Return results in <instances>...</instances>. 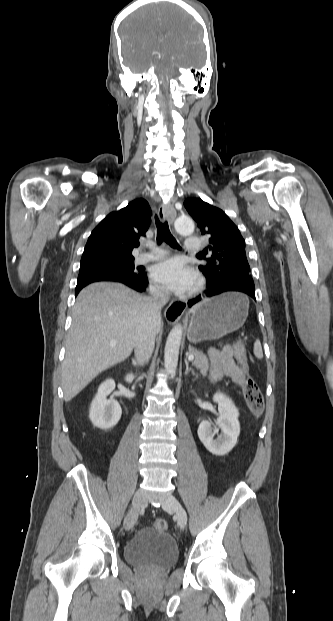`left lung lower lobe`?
I'll return each instance as SVG.
<instances>
[{
	"mask_svg": "<svg viewBox=\"0 0 333 621\" xmlns=\"http://www.w3.org/2000/svg\"><path fill=\"white\" fill-rule=\"evenodd\" d=\"M207 286L209 289L204 292L203 297H213L227 291H238L243 292L255 299V286L253 279L250 278L229 277L212 285L207 282ZM201 300L202 297L199 295L198 297L189 300L188 306L191 307Z\"/></svg>",
	"mask_w": 333,
	"mask_h": 621,
	"instance_id": "obj_1",
	"label": "left lung lower lobe"
}]
</instances>
